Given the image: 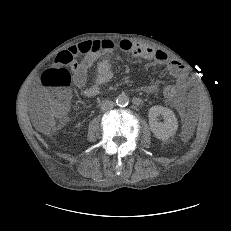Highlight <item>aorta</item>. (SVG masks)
Masks as SVG:
<instances>
[{
    "label": "aorta",
    "mask_w": 231,
    "mask_h": 231,
    "mask_svg": "<svg viewBox=\"0 0 231 231\" xmlns=\"http://www.w3.org/2000/svg\"><path fill=\"white\" fill-rule=\"evenodd\" d=\"M116 103L118 106H121V107L127 106L129 103V97L126 94L122 93V94L118 95V97L116 99Z\"/></svg>",
    "instance_id": "1"
}]
</instances>
